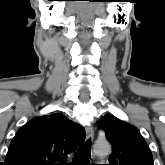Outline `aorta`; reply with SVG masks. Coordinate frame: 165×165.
I'll return each instance as SVG.
<instances>
[{"label": "aorta", "mask_w": 165, "mask_h": 165, "mask_svg": "<svg viewBox=\"0 0 165 165\" xmlns=\"http://www.w3.org/2000/svg\"><path fill=\"white\" fill-rule=\"evenodd\" d=\"M111 150L110 144L107 141H99L94 145V151L98 155H107Z\"/></svg>", "instance_id": "1"}]
</instances>
